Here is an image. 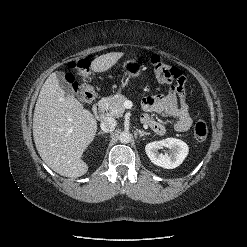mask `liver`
<instances>
[{"label":"liver","instance_id":"obj_1","mask_svg":"<svg viewBox=\"0 0 247 247\" xmlns=\"http://www.w3.org/2000/svg\"><path fill=\"white\" fill-rule=\"evenodd\" d=\"M124 55L111 52L91 62L94 72H104ZM97 121L74 96L59 86L56 73H52L39 93L33 116V137L43 161L56 173L70 178L80 177L88 171L82 160L83 152L93 141Z\"/></svg>","mask_w":247,"mask_h":247}]
</instances>
